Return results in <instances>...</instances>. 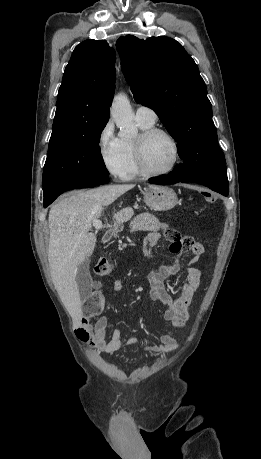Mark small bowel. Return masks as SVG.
I'll return each instance as SVG.
<instances>
[{"instance_id": "1", "label": "small bowel", "mask_w": 261, "mask_h": 459, "mask_svg": "<svg viewBox=\"0 0 261 459\" xmlns=\"http://www.w3.org/2000/svg\"><path fill=\"white\" fill-rule=\"evenodd\" d=\"M173 236L167 238L170 242L169 250L177 257L171 264L159 267L151 276V297L156 302L165 306L163 318L170 322L175 330L184 328L189 321V306L193 294L200 284V270L195 267V263L200 259L203 253L202 245L190 236H183L175 230H171ZM160 239L158 233H150L148 243L150 248H154ZM190 251L192 258L187 267L186 279L180 287L178 294L173 298L164 283V278L176 275L181 269L179 257ZM95 288H99L100 284L95 283ZM124 286L123 280H116L113 284L115 291H120ZM107 317L101 316L95 323H91L89 319H83L75 331L76 337L89 348L112 355L118 350L126 346L142 347L145 351L154 356L167 355L178 347V335L176 331H172L160 337L157 341L142 343L138 337L123 338L120 330L115 329L107 340Z\"/></svg>"}]
</instances>
